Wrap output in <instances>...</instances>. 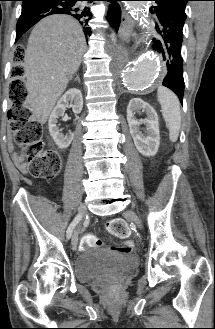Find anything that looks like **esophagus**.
I'll use <instances>...</instances> for the list:
<instances>
[{"label": "esophagus", "instance_id": "34e87169", "mask_svg": "<svg viewBox=\"0 0 215 329\" xmlns=\"http://www.w3.org/2000/svg\"><path fill=\"white\" fill-rule=\"evenodd\" d=\"M134 23L127 12H123L119 28V37L126 43L130 42L133 34Z\"/></svg>", "mask_w": 215, "mask_h": 329}]
</instances>
